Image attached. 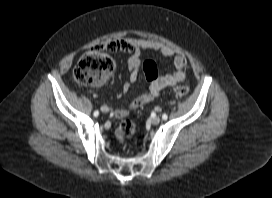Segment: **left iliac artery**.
<instances>
[{
	"label": "left iliac artery",
	"instance_id": "1",
	"mask_svg": "<svg viewBox=\"0 0 272 198\" xmlns=\"http://www.w3.org/2000/svg\"><path fill=\"white\" fill-rule=\"evenodd\" d=\"M167 118H168V116H167L166 114H163V115H162V119H163V120H166Z\"/></svg>",
	"mask_w": 272,
	"mask_h": 198
}]
</instances>
